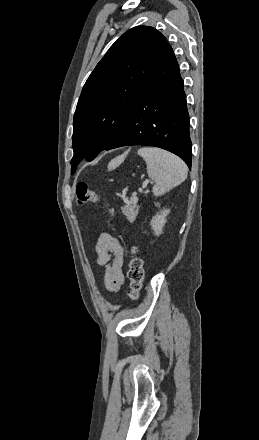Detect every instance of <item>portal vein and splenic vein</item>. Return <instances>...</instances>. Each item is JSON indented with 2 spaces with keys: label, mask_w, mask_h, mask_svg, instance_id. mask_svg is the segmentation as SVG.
<instances>
[{
  "label": "portal vein and splenic vein",
  "mask_w": 259,
  "mask_h": 440,
  "mask_svg": "<svg viewBox=\"0 0 259 440\" xmlns=\"http://www.w3.org/2000/svg\"><path fill=\"white\" fill-rule=\"evenodd\" d=\"M149 181H146L145 183L147 184ZM139 192H143L142 188H139ZM138 201L137 197L135 195L132 196V202L136 203Z\"/></svg>",
  "instance_id": "18ae733b"
}]
</instances>
